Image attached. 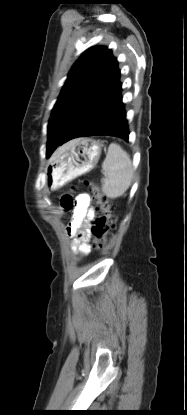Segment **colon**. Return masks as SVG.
Listing matches in <instances>:
<instances>
[{
  "mask_svg": "<svg viewBox=\"0 0 187 415\" xmlns=\"http://www.w3.org/2000/svg\"><path fill=\"white\" fill-rule=\"evenodd\" d=\"M87 185L90 187L91 194L98 204L99 211L98 217L90 228V234L94 239L96 247L102 248L116 227L113 219V203L97 185L89 182ZM72 203L73 198L71 195H64L61 199V204L66 209L70 208Z\"/></svg>",
  "mask_w": 187,
  "mask_h": 415,
  "instance_id": "5ec220e1",
  "label": "colon"
}]
</instances>
